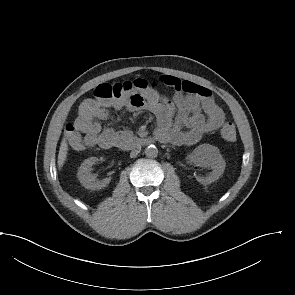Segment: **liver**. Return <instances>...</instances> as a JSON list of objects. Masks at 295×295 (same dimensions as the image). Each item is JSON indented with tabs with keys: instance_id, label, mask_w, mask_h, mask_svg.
I'll list each match as a JSON object with an SVG mask.
<instances>
[{
	"instance_id": "1",
	"label": "liver",
	"mask_w": 295,
	"mask_h": 295,
	"mask_svg": "<svg viewBox=\"0 0 295 295\" xmlns=\"http://www.w3.org/2000/svg\"><path fill=\"white\" fill-rule=\"evenodd\" d=\"M67 151H68V145H67V141L66 139L64 138L61 142V146H60V149H59V154H58V168L59 170L63 167L65 161H66V158H67Z\"/></svg>"
}]
</instances>
